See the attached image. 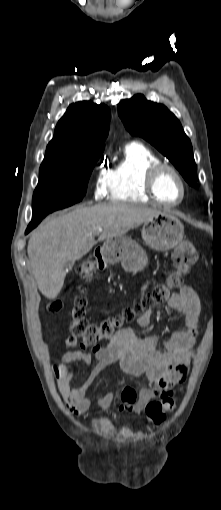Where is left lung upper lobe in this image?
I'll return each instance as SVG.
<instances>
[{
  "instance_id": "obj_1",
  "label": "left lung upper lobe",
  "mask_w": 221,
  "mask_h": 510,
  "mask_svg": "<svg viewBox=\"0 0 221 510\" xmlns=\"http://www.w3.org/2000/svg\"><path fill=\"white\" fill-rule=\"evenodd\" d=\"M118 114L130 134L149 141L174 164L191 186H196L197 167L192 145L173 113L164 105L147 101L138 94L122 100Z\"/></svg>"
}]
</instances>
